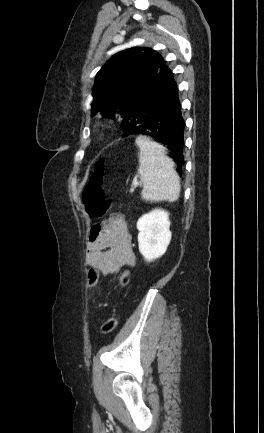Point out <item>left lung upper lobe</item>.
Returning a JSON list of instances; mask_svg holds the SVG:
<instances>
[{"label": "left lung upper lobe", "instance_id": "left-lung-upper-lobe-1", "mask_svg": "<svg viewBox=\"0 0 264 433\" xmlns=\"http://www.w3.org/2000/svg\"><path fill=\"white\" fill-rule=\"evenodd\" d=\"M164 68L162 56L150 48H131L115 54L96 75L92 116L101 113L112 118L120 112L124 117Z\"/></svg>", "mask_w": 264, "mask_h": 433}]
</instances>
